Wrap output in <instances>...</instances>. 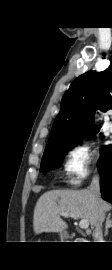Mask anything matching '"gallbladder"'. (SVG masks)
Instances as JSON below:
<instances>
[{"label":"gallbladder","instance_id":"bac80fb5","mask_svg":"<svg viewBox=\"0 0 112 270\" xmlns=\"http://www.w3.org/2000/svg\"><path fill=\"white\" fill-rule=\"evenodd\" d=\"M60 237H61V239H66V238H68L69 236H68L65 232H62V233L60 234Z\"/></svg>","mask_w":112,"mask_h":270}]
</instances>
